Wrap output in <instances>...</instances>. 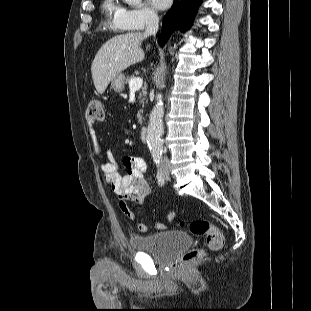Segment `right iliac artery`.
Masks as SVG:
<instances>
[{
  "mask_svg": "<svg viewBox=\"0 0 311 311\" xmlns=\"http://www.w3.org/2000/svg\"><path fill=\"white\" fill-rule=\"evenodd\" d=\"M159 163L160 161L157 160L156 164H158V172H157V182L160 186H163L165 183L164 174L162 173L161 169H159Z\"/></svg>",
  "mask_w": 311,
  "mask_h": 311,
  "instance_id": "obj_1",
  "label": "right iliac artery"
}]
</instances>
